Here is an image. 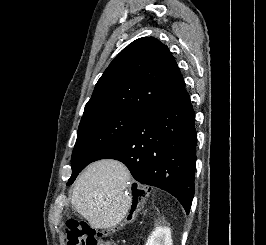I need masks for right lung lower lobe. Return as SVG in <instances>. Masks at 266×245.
<instances>
[{
	"label": "right lung lower lobe",
	"mask_w": 266,
	"mask_h": 245,
	"mask_svg": "<svg viewBox=\"0 0 266 245\" xmlns=\"http://www.w3.org/2000/svg\"><path fill=\"white\" fill-rule=\"evenodd\" d=\"M195 112L185 88L156 105L113 146L93 161L123 162L134 179L177 198L189 213L196 169Z\"/></svg>",
	"instance_id": "1"
}]
</instances>
